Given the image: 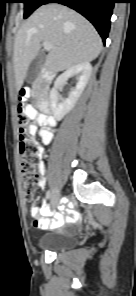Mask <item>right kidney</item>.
I'll return each instance as SVG.
<instances>
[{
	"label": "right kidney",
	"mask_w": 136,
	"mask_h": 296,
	"mask_svg": "<svg viewBox=\"0 0 136 296\" xmlns=\"http://www.w3.org/2000/svg\"><path fill=\"white\" fill-rule=\"evenodd\" d=\"M92 66L89 62H82L67 69L55 81L54 87L50 91V103L54 117L61 120L75 106L77 100L86 87L91 76ZM76 76V87L71 89L67 98H62L58 89L70 78Z\"/></svg>",
	"instance_id": "obj_1"
}]
</instances>
